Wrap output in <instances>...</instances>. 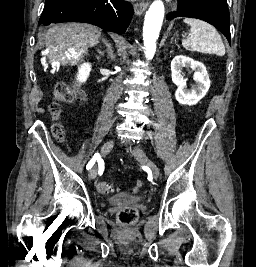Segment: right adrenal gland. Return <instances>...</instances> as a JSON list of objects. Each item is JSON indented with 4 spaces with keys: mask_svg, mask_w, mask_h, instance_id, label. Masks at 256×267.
<instances>
[{
    "mask_svg": "<svg viewBox=\"0 0 256 267\" xmlns=\"http://www.w3.org/2000/svg\"><path fill=\"white\" fill-rule=\"evenodd\" d=\"M102 44H104V48H106L107 54H112L111 46L110 44H108V40H105V38H102ZM100 54H102L103 56L104 52H100Z\"/></svg>",
    "mask_w": 256,
    "mask_h": 267,
    "instance_id": "2a0ac1e0",
    "label": "right adrenal gland"
}]
</instances>
